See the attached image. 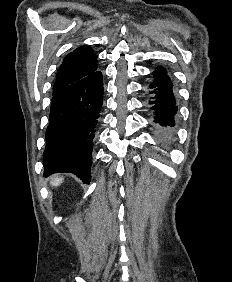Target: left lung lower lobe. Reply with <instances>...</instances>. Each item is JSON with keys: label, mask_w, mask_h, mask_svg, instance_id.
Returning <instances> with one entry per match:
<instances>
[{"label": "left lung lower lobe", "mask_w": 232, "mask_h": 282, "mask_svg": "<svg viewBox=\"0 0 232 282\" xmlns=\"http://www.w3.org/2000/svg\"><path fill=\"white\" fill-rule=\"evenodd\" d=\"M149 90V104L154 122L160 128V140L166 142L170 138V127L175 126L174 117L178 107L172 81L163 67H158L153 72V81L149 85Z\"/></svg>", "instance_id": "0a47b994"}]
</instances>
